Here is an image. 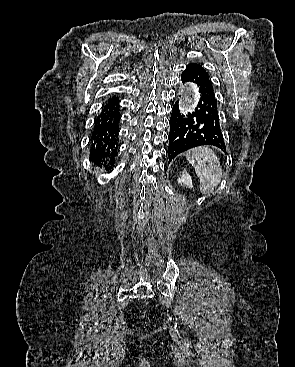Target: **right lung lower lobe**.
Masks as SVG:
<instances>
[{
    "mask_svg": "<svg viewBox=\"0 0 295 367\" xmlns=\"http://www.w3.org/2000/svg\"><path fill=\"white\" fill-rule=\"evenodd\" d=\"M119 100L113 96L107 100L96 118L91 137L90 158L98 162H114L118 151Z\"/></svg>",
    "mask_w": 295,
    "mask_h": 367,
    "instance_id": "obj_1",
    "label": "right lung lower lobe"
}]
</instances>
